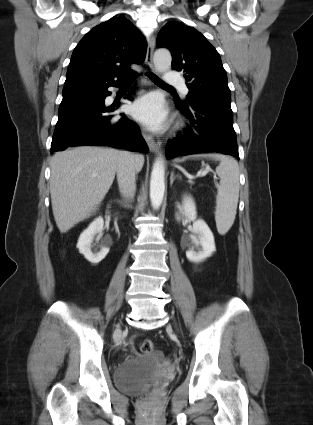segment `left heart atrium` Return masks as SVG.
I'll return each instance as SVG.
<instances>
[{"label":"left heart atrium","instance_id":"39dd6f15","mask_svg":"<svg viewBox=\"0 0 313 425\" xmlns=\"http://www.w3.org/2000/svg\"><path fill=\"white\" fill-rule=\"evenodd\" d=\"M131 114L151 128L160 127L166 119V112L163 109L161 99L154 94L146 95L137 100L131 108Z\"/></svg>","mask_w":313,"mask_h":425}]
</instances>
